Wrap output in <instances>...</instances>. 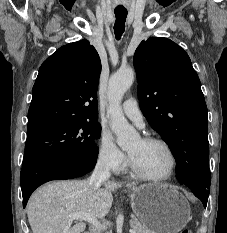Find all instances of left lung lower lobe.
<instances>
[{
	"label": "left lung lower lobe",
	"mask_w": 227,
	"mask_h": 233,
	"mask_svg": "<svg viewBox=\"0 0 227 233\" xmlns=\"http://www.w3.org/2000/svg\"><path fill=\"white\" fill-rule=\"evenodd\" d=\"M190 190L195 194V196H197L202 201L204 207H206L209 193H204L192 188H190Z\"/></svg>",
	"instance_id": "1"
}]
</instances>
